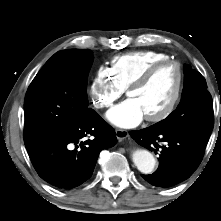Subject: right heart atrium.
<instances>
[{
  "mask_svg": "<svg viewBox=\"0 0 221 221\" xmlns=\"http://www.w3.org/2000/svg\"><path fill=\"white\" fill-rule=\"evenodd\" d=\"M124 89L116 82L108 68L99 67L91 81L89 93L97 109H107L123 95Z\"/></svg>",
  "mask_w": 221,
  "mask_h": 221,
  "instance_id": "obj_1",
  "label": "right heart atrium"
}]
</instances>
